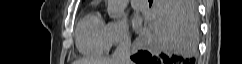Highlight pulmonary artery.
<instances>
[{"label": "pulmonary artery", "mask_w": 242, "mask_h": 64, "mask_svg": "<svg viewBox=\"0 0 242 64\" xmlns=\"http://www.w3.org/2000/svg\"><path fill=\"white\" fill-rule=\"evenodd\" d=\"M131 5L138 11H144L148 7L146 0H131Z\"/></svg>", "instance_id": "obj_1"}]
</instances>
